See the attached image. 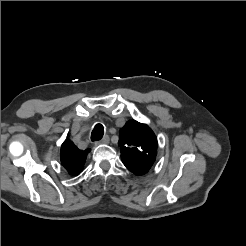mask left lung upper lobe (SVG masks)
<instances>
[{"mask_svg": "<svg viewBox=\"0 0 246 246\" xmlns=\"http://www.w3.org/2000/svg\"><path fill=\"white\" fill-rule=\"evenodd\" d=\"M118 145L123 164L135 175L146 174L157 155V138L146 125L128 121L120 130Z\"/></svg>", "mask_w": 246, "mask_h": 246, "instance_id": "5c2ea615", "label": "left lung upper lobe"}]
</instances>
